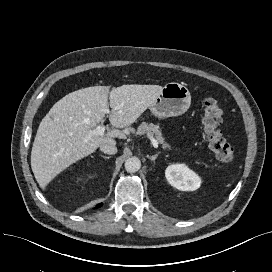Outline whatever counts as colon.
Masks as SVG:
<instances>
[{
  "label": "colon",
  "instance_id": "colon-1",
  "mask_svg": "<svg viewBox=\"0 0 272 272\" xmlns=\"http://www.w3.org/2000/svg\"><path fill=\"white\" fill-rule=\"evenodd\" d=\"M222 114L221 103L214 97H208L203 106V137L218 160L230 162L234 159V149L224 137Z\"/></svg>",
  "mask_w": 272,
  "mask_h": 272
}]
</instances>
